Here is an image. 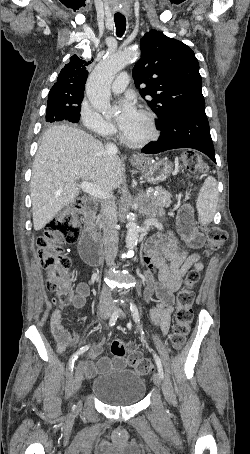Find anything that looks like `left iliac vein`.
<instances>
[{
	"instance_id": "left-iliac-vein-1",
	"label": "left iliac vein",
	"mask_w": 250,
	"mask_h": 454,
	"mask_svg": "<svg viewBox=\"0 0 250 454\" xmlns=\"http://www.w3.org/2000/svg\"><path fill=\"white\" fill-rule=\"evenodd\" d=\"M120 316L124 317L125 314H124L122 311H120ZM161 380H162V378H161L159 372H156V373L153 375V382H154V384H155L156 386H160Z\"/></svg>"
}]
</instances>
